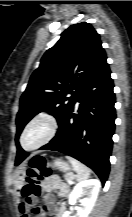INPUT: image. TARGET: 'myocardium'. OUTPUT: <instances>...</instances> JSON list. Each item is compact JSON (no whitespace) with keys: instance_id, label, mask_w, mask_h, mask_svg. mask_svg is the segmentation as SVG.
Segmentation results:
<instances>
[{"instance_id":"f54148a6","label":"myocardium","mask_w":132,"mask_h":217,"mask_svg":"<svg viewBox=\"0 0 132 217\" xmlns=\"http://www.w3.org/2000/svg\"><path fill=\"white\" fill-rule=\"evenodd\" d=\"M39 122H44L47 125V133L45 137L36 145L32 147H26L24 144V137L26 133L31 127H33L35 124ZM57 128H58V122H57L56 117L48 111H41L37 113L36 115H34L23 128L22 133L20 135V144L23 149L28 150V151L39 149L42 146L49 143L54 138L57 132Z\"/></svg>"}]
</instances>
